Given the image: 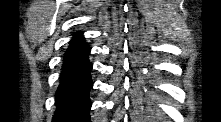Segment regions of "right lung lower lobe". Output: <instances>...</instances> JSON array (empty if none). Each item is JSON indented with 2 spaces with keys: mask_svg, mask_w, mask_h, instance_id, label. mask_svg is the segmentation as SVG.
I'll use <instances>...</instances> for the list:
<instances>
[{
  "mask_svg": "<svg viewBox=\"0 0 221 122\" xmlns=\"http://www.w3.org/2000/svg\"><path fill=\"white\" fill-rule=\"evenodd\" d=\"M89 53L82 33L74 35L64 55L53 122H90L89 91L93 85Z\"/></svg>",
  "mask_w": 221,
  "mask_h": 122,
  "instance_id": "obj_1",
  "label": "right lung lower lobe"
}]
</instances>
